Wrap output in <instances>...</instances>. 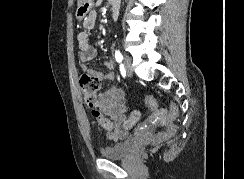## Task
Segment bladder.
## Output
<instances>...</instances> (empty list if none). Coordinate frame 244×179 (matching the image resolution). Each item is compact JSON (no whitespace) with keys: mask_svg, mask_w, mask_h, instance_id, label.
I'll list each match as a JSON object with an SVG mask.
<instances>
[{"mask_svg":"<svg viewBox=\"0 0 244 179\" xmlns=\"http://www.w3.org/2000/svg\"><path fill=\"white\" fill-rule=\"evenodd\" d=\"M133 138L115 143L100 150L101 156L106 159H122L133 151Z\"/></svg>","mask_w":244,"mask_h":179,"instance_id":"1","label":"bladder"}]
</instances>
